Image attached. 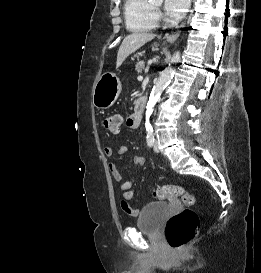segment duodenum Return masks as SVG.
<instances>
[{
  "label": "duodenum",
  "mask_w": 261,
  "mask_h": 273,
  "mask_svg": "<svg viewBox=\"0 0 261 273\" xmlns=\"http://www.w3.org/2000/svg\"><path fill=\"white\" fill-rule=\"evenodd\" d=\"M146 106V100L144 98H140L137 100L135 105V112L133 114V126L138 127L142 121L143 111Z\"/></svg>",
  "instance_id": "obj_1"
}]
</instances>
